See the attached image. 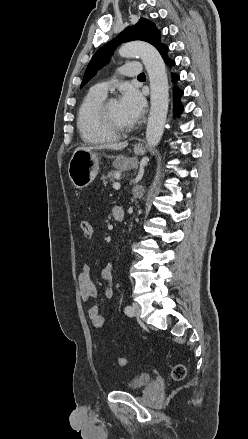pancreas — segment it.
<instances>
[{
	"label": "pancreas",
	"mask_w": 248,
	"mask_h": 439,
	"mask_svg": "<svg viewBox=\"0 0 248 439\" xmlns=\"http://www.w3.org/2000/svg\"><path fill=\"white\" fill-rule=\"evenodd\" d=\"M120 177H121L120 170H111L110 172L107 173V175L102 176V180H103V182H105L108 179L113 181L114 179H118Z\"/></svg>",
	"instance_id": "pancreas-1"
}]
</instances>
